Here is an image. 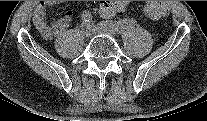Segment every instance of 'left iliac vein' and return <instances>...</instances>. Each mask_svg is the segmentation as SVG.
I'll list each match as a JSON object with an SVG mask.
<instances>
[{"instance_id": "obj_1", "label": "left iliac vein", "mask_w": 207, "mask_h": 121, "mask_svg": "<svg viewBox=\"0 0 207 121\" xmlns=\"http://www.w3.org/2000/svg\"><path fill=\"white\" fill-rule=\"evenodd\" d=\"M91 27H92L93 33H95V34H106V35H110V36L115 34L111 29L106 28V27L94 26L93 24H91Z\"/></svg>"}]
</instances>
